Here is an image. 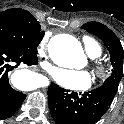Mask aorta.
<instances>
[{
	"mask_svg": "<svg viewBox=\"0 0 124 124\" xmlns=\"http://www.w3.org/2000/svg\"><path fill=\"white\" fill-rule=\"evenodd\" d=\"M48 51L51 59L64 67L75 66L78 61L84 58L80 42L68 34L54 36L49 41Z\"/></svg>",
	"mask_w": 124,
	"mask_h": 124,
	"instance_id": "1",
	"label": "aorta"
}]
</instances>
